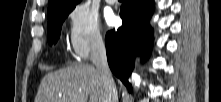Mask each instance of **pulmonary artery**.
<instances>
[{"label": "pulmonary artery", "mask_w": 221, "mask_h": 102, "mask_svg": "<svg viewBox=\"0 0 221 102\" xmlns=\"http://www.w3.org/2000/svg\"><path fill=\"white\" fill-rule=\"evenodd\" d=\"M106 2H107L108 4H114V3L116 2V0H106Z\"/></svg>", "instance_id": "obj_1"}]
</instances>
